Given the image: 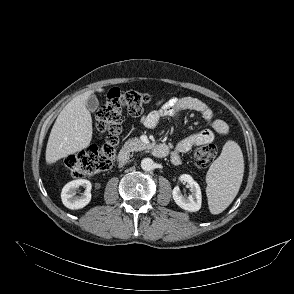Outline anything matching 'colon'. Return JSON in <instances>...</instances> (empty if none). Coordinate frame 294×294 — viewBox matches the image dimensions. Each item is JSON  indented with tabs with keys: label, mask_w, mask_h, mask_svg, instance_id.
I'll list each match as a JSON object with an SVG mask.
<instances>
[{
	"label": "colon",
	"mask_w": 294,
	"mask_h": 294,
	"mask_svg": "<svg viewBox=\"0 0 294 294\" xmlns=\"http://www.w3.org/2000/svg\"><path fill=\"white\" fill-rule=\"evenodd\" d=\"M151 101L146 93L133 90L111 89L105 102L96 112L98 130L105 135L102 145H93L87 150L71 154L65 159V165L74 178L81 179L108 171L115 156V145L122 128V115L127 112L132 116L140 115ZM217 149L211 142L196 145L193 158L199 167L209 166L215 159Z\"/></svg>",
	"instance_id": "obj_1"
}]
</instances>
